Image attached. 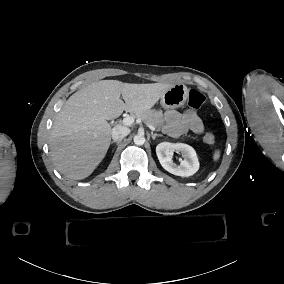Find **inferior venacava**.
<instances>
[{
	"label": "inferior vena cava",
	"instance_id": "602c4592",
	"mask_svg": "<svg viewBox=\"0 0 284 284\" xmlns=\"http://www.w3.org/2000/svg\"><path fill=\"white\" fill-rule=\"evenodd\" d=\"M130 133V129L121 125H116L112 129V139L120 141Z\"/></svg>",
	"mask_w": 284,
	"mask_h": 284
}]
</instances>
